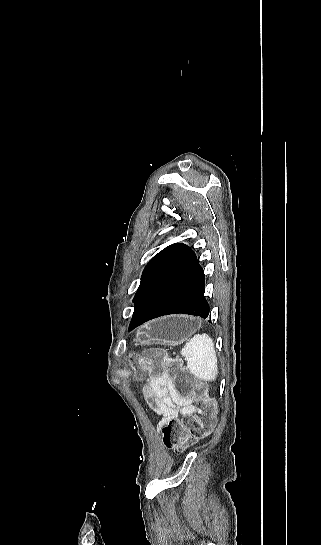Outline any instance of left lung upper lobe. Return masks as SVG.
I'll use <instances>...</instances> for the list:
<instances>
[{"mask_svg": "<svg viewBox=\"0 0 321 545\" xmlns=\"http://www.w3.org/2000/svg\"><path fill=\"white\" fill-rule=\"evenodd\" d=\"M175 244L169 245L168 247L164 248L162 251H160L158 254H156L146 265L142 276H141V282L140 286L135 294V297L133 299V302L135 303L136 299L138 298L139 294L149 281V279L153 276V274L160 268V266L163 264L165 259L168 257L169 253L173 249Z\"/></svg>", "mask_w": 321, "mask_h": 545, "instance_id": "1", "label": "left lung upper lobe"}]
</instances>
